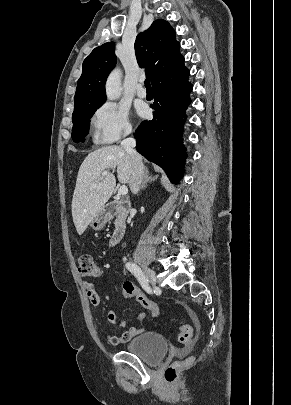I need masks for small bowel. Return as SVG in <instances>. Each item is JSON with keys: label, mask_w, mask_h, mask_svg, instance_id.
Instances as JSON below:
<instances>
[{"label": "small bowel", "mask_w": 291, "mask_h": 405, "mask_svg": "<svg viewBox=\"0 0 291 405\" xmlns=\"http://www.w3.org/2000/svg\"><path fill=\"white\" fill-rule=\"evenodd\" d=\"M85 287L87 290V295L90 299V301L92 302L93 305H98L99 304V295L97 292V288L96 285L93 283H85ZM185 310L189 316V318L191 319V321L193 322L195 327H199V321L198 318L196 316V314L189 308L185 307ZM146 317V313L144 311H141L138 313V319L139 320H143ZM106 322L110 325L113 326H119L121 328L126 327V321L119 319L116 314L113 311H108L106 314ZM144 331V329L142 328H138V327H131L128 330L123 331L120 335H108L107 339L108 342L111 345H119L122 343H126L128 341H130L132 338H134L135 336L139 335L140 333H142Z\"/></svg>", "instance_id": "small-bowel-1"}]
</instances>
